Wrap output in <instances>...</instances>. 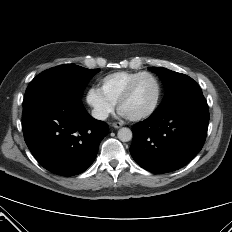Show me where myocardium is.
Listing matches in <instances>:
<instances>
[{
	"mask_svg": "<svg viewBox=\"0 0 232 232\" xmlns=\"http://www.w3.org/2000/svg\"><path fill=\"white\" fill-rule=\"evenodd\" d=\"M144 76H148L155 81V83L157 85V96H156V99H155L153 105L151 106V108L149 110H147L146 112L139 114V115H135V116H126L128 119H130L132 121H140V120L146 119V118L150 117L151 115H153L156 112V110L158 109L159 104H160L161 99H162V85H161V82L158 79V77L150 72H140L135 78L132 79V81L128 84L124 93L119 98V100L117 102L118 110L121 111L123 104L131 97L136 83L138 82V80L140 78H142Z\"/></svg>",
	"mask_w": 232,
	"mask_h": 232,
	"instance_id": "1",
	"label": "myocardium"
}]
</instances>
